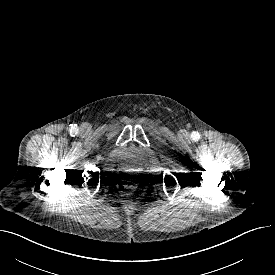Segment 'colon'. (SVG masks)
I'll return each instance as SVG.
<instances>
[{
	"mask_svg": "<svg viewBox=\"0 0 275 275\" xmlns=\"http://www.w3.org/2000/svg\"><path fill=\"white\" fill-rule=\"evenodd\" d=\"M131 187H132V185H129V184H121L119 189H120V191L124 192V191L130 189Z\"/></svg>",
	"mask_w": 275,
	"mask_h": 275,
	"instance_id": "colon-1",
	"label": "colon"
}]
</instances>
